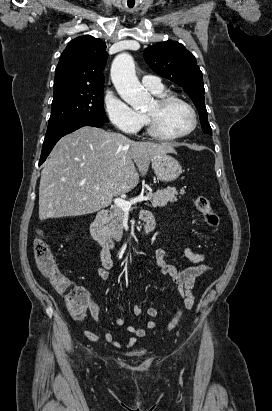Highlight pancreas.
Masks as SVG:
<instances>
[{
    "label": "pancreas",
    "instance_id": "cf45deb5",
    "mask_svg": "<svg viewBox=\"0 0 272 411\" xmlns=\"http://www.w3.org/2000/svg\"><path fill=\"white\" fill-rule=\"evenodd\" d=\"M178 194L183 195L185 191L180 190L178 193L175 187H167L154 193H146V197L151 198L152 207H164L168 202H176ZM123 217L124 210L118 206H113L106 220L105 230L116 241H120L123 235Z\"/></svg>",
    "mask_w": 272,
    "mask_h": 411
}]
</instances>
